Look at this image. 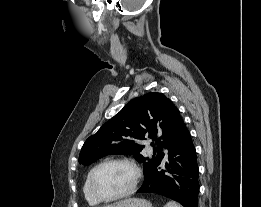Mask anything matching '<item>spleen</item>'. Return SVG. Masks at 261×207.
I'll use <instances>...</instances> for the list:
<instances>
[{
    "label": "spleen",
    "instance_id": "obj_1",
    "mask_svg": "<svg viewBox=\"0 0 261 207\" xmlns=\"http://www.w3.org/2000/svg\"><path fill=\"white\" fill-rule=\"evenodd\" d=\"M164 207H181V206H179L177 203H175V202H172V201H170V202H168Z\"/></svg>",
    "mask_w": 261,
    "mask_h": 207
}]
</instances>
